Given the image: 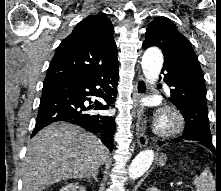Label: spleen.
<instances>
[{"label":"spleen","mask_w":221,"mask_h":191,"mask_svg":"<svg viewBox=\"0 0 221 191\" xmlns=\"http://www.w3.org/2000/svg\"><path fill=\"white\" fill-rule=\"evenodd\" d=\"M193 184L195 185L196 191H215V180L208 167L194 178Z\"/></svg>","instance_id":"3e777b00"}]
</instances>
